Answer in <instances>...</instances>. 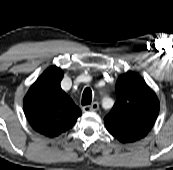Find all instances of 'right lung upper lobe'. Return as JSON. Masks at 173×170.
<instances>
[{"instance_id":"obj_1","label":"right lung upper lobe","mask_w":173,"mask_h":170,"mask_svg":"<svg viewBox=\"0 0 173 170\" xmlns=\"http://www.w3.org/2000/svg\"><path fill=\"white\" fill-rule=\"evenodd\" d=\"M63 72L49 67L30 87L24 98V112L38 133L56 137L70 129L82 114L79 107L61 89Z\"/></svg>"}]
</instances>
